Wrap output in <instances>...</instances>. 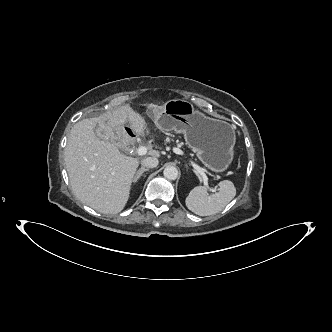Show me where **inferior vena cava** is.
<instances>
[{
  "label": "inferior vena cava",
  "mask_w": 332,
  "mask_h": 332,
  "mask_svg": "<svg viewBox=\"0 0 332 332\" xmlns=\"http://www.w3.org/2000/svg\"><path fill=\"white\" fill-rule=\"evenodd\" d=\"M141 165L146 168H155L158 165V159L156 157H147L141 161Z\"/></svg>",
  "instance_id": "obj_1"
}]
</instances>
